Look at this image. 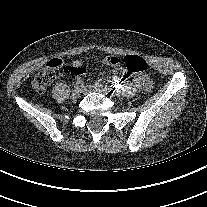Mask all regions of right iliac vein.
<instances>
[{
	"label": "right iliac vein",
	"instance_id": "1",
	"mask_svg": "<svg viewBox=\"0 0 207 207\" xmlns=\"http://www.w3.org/2000/svg\"><path fill=\"white\" fill-rule=\"evenodd\" d=\"M80 94H81L80 88H74L73 91H72V93H71V97L73 99H77V98L80 97Z\"/></svg>",
	"mask_w": 207,
	"mask_h": 207
}]
</instances>
